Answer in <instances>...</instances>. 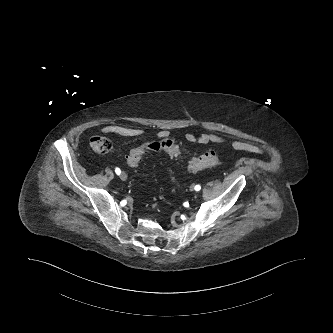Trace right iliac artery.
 Masks as SVG:
<instances>
[{
    "label": "right iliac artery",
    "mask_w": 333,
    "mask_h": 333,
    "mask_svg": "<svg viewBox=\"0 0 333 333\" xmlns=\"http://www.w3.org/2000/svg\"><path fill=\"white\" fill-rule=\"evenodd\" d=\"M115 172H116L117 175H120L121 170H120L119 168H116V169H115Z\"/></svg>",
    "instance_id": "82829eb1"
}]
</instances>
